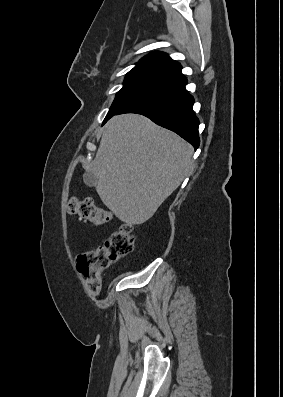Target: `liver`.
<instances>
[{"instance_id": "6515ba94", "label": "liver", "mask_w": 283, "mask_h": 397, "mask_svg": "<svg viewBox=\"0 0 283 397\" xmlns=\"http://www.w3.org/2000/svg\"><path fill=\"white\" fill-rule=\"evenodd\" d=\"M193 147L148 118L124 114L104 126L95 159L86 167L96 191L118 219L140 225L189 175Z\"/></svg>"}]
</instances>
